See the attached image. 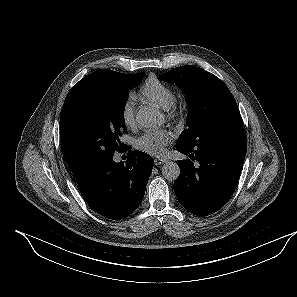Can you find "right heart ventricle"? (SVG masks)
<instances>
[{
	"label": "right heart ventricle",
	"mask_w": 297,
	"mask_h": 297,
	"mask_svg": "<svg viewBox=\"0 0 297 297\" xmlns=\"http://www.w3.org/2000/svg\"><path fill=\"white\" fill-rule=\"evenodd\" d=\"M139 95L163 109H169L176 100L172 87L156 77H150L141 85Z\"/></svg>",
	"instance_id": "e07e8e85"
}]
</instances>
